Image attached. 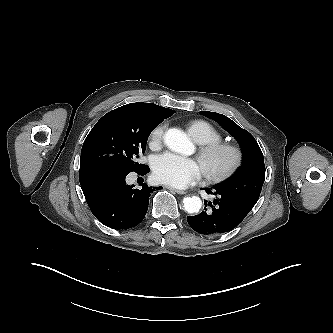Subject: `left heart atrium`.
<instances>
[{
	"label": "left heart atrium",
	"instance_id": "obj_1",
	"mask_svg": "<svg viewBox=\"0 0 333 333\" xmlns=\"http://www.w3.org/2000/svg\"><path fill=\"white\" fill-rule=\"evenodd\" d=\"M201 166L197 161L172 153H165L155 158L153 174L157 181L184 188L201 177Z\"/></svg>",
	"mask_w": 333,
	"mask_h": 333
}]
</instances>
